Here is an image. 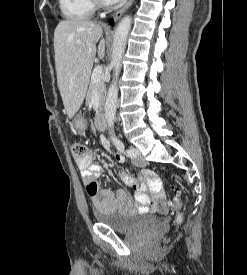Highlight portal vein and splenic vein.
Masks as SVG:
<instances>
[{
	"instance_id": "18ae733b",
	"label": "portal vein and splenic vein",
	"mask_w": 247,
	"mask_h": 275,
	"mask_svg": "<svg viewBox=\"0 0 247 275\" xmlns=\"http://www.w3.org/2000/svg\"><path fill=\"white\" fill-rule=\"evenodd\" d=\"M103 69L101 66H97L92 73L91 80L98 82L102 78Z\"/></svg>"
}]
</instances>
